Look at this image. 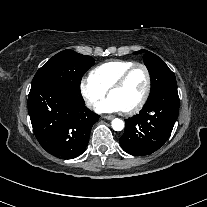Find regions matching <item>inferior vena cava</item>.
<instances>
[{
	"label": "inferior vena cava",
	"instance_id": "602c4592",
	"mask_svg": "<svg viewBox=\"0 0 207 207\" xmlns=\"http://www.w3.org/2000/svg\"><path fill=\"white\" fill-rule=\"evenodd\" d=\"M87 105H88V107H91L92 106V103H88Z\"/></svg>",
	"mask_w": 207,
	"mask_h": 207
}]
</instances>
